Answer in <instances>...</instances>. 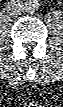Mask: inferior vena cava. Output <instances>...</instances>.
I'll return each instance as SVG.
<instances>
[{
    "label": "inferior vena cava",
    "instance_id": "602c4592",
    "mask_svg": "<svg viewBox=\"0 0 63 107\" xmlns=\"http://www.w3.org/2000/svg\"><path fill=\"white\" fill-rule=\"evenodd\" d=\"M6 10L10 15L17 16L23 12L24 8L20 1L12 0L7 3Z\"/></svg>",
    "mask_w": 63,
    "mask_h": 107
}]
</instances>
